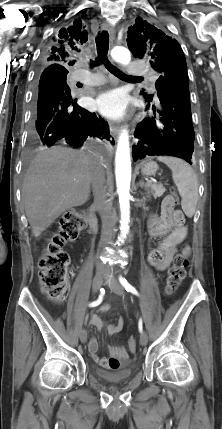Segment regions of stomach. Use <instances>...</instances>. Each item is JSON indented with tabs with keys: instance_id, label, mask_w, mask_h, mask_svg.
Returning <instances> with one entry per match:
<instances>
[{
	"instance_id": "1",
	"label": "stomach",
	"mask_w": 222,
	"mask_h": 429,
	"mask_svg": "<svg viewBox=\"0 0 222 429\" xmlns=\"http://www.w3.org/2000/svg\"><path fill=\"white\" fill-rule=\"evenodd\" d=\"M158 170L156 162L148 160L141 164V173L146 176L154 175Z\"/></svg>"
}]
</instances>
